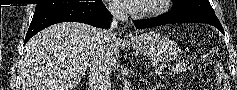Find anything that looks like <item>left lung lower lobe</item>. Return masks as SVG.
<instances>
[{"mask_svg":"<svg viewBox=\"0 0 237 90\" xmlns=\"http://www.w3.org/2000/svg\"><path fill=\"white\" fill-rule=\"evenodd\" d=\"M180 22L207 23L217 27L222 33H224L223 27L221 26L218 18H213L205 15L184 11H170L166 14L159 16L158 18L134 21V25L138 29H144L168 23H180Z\"/></svg>","mask_w":237,"mask_h":90,"instance_id":"left-lung-lower-lobe-1","label":"left lung lower lobe"}]
</instances>
